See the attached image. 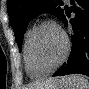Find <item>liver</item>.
I'll list each match as a JSON object with an SVG mask.
<instances>
[{"label":"liver","instance_id":"1","mask_svg":"<svg viewBox=\"0 0 89 89\" xmlns=\"http://www.w3.org/2000/svg\"><path fill=\"white\" fill-rule=\"evenodd\" d=\"M58 78H49L43 81H40L36 84L30 85L29 89H47L48 87H51L52 85H55L58 82Z\"/></svg>","mask_w":89,"mask_h":89}]
</instances>
